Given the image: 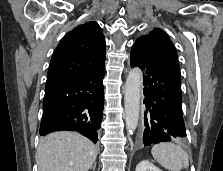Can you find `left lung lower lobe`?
I'll use <instances>...</instances> for the list:
<instances>
[{
	"label": "left lung lower lobe",
	"instance_id": "1",
	"mask_svg": "<svg viewBox=\"0 0 223 171\" xmlns=\"http://www.w3.org/2000/svg\"><path fill=\"white\" fill-rule=\"evenodd\" d=\"M130 64L143 72L144 124L139 142L144 146L186 136L182 115L180 72L158 54L135 43Z\"/></svg>",
	"mask_w": 223,
	"mask_h": 171
}]
</instances>
